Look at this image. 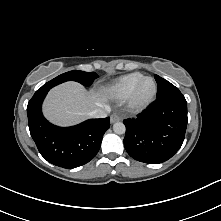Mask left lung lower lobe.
Segmentation results:
<instances>
[{
    "instance_id": "obj_1",
    "label": "left lung lower lobe",
    "mask_w": 221,
    "mask_h": 221,
    "mask_svg": "<svg viewBox=\"0 0 221 221\" xmlns=\"http://www.w3.org/2000/svg\"><path fill=\"white\" fill-rule=\"evenodd\" d=\"M187 121V102L182 94L157 99L136 119L124 121L125 149L140 162H165L181 147Z\"/></svg>"
}]
</instances>
